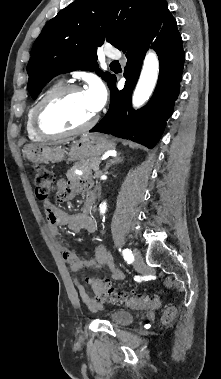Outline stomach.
Instances as JSON below:
<instances>
[{
	"label": "stomach",
	"instance_id": "0dacf381",
	"mask_svg": "<svg viewBox=\"0 0 221 379\" xmlns=\"http://www.w3.org/2000/svg\"><path fill=\"white\" fill-rule=\"evenodd\" d=\"M115 143L100 134H87L74 141L70 148L62 146L28 145L25 156L32 163L61 162L70 160L99 159L108 150L115 149Z\"/></svg>",
	"mask_w": 221,
	"mask_h": 379
}]
</instances>
